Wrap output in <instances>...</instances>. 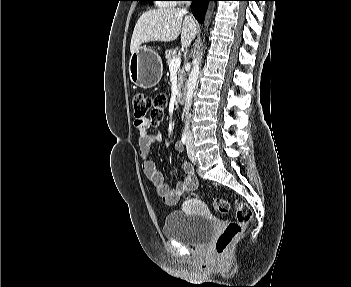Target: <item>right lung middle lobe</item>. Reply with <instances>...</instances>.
Masks as SVG:
<instances>
[{
	"mask_svg": "<svg viewBox=\"0 0 351 287\" xmlns=\"http://www.w3.org/2000/svg\"><path fill=\"white\" fill-rule=\"evenodd\" d=\"M139 1H150V0H139Z\"/></svg>",
	"mask_w": 351,
	"mask_h": 287,
	"instance_id": "obj_1",
	"label": "right lung middle lobe"
}]
</instances>
